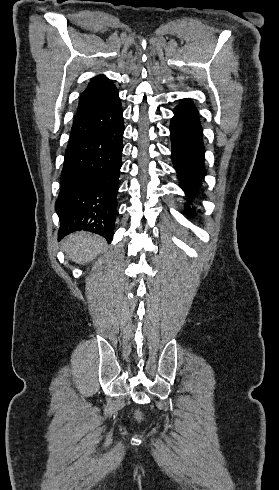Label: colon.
I'll return each mask as SVG.
<instances>
[{"instance_id":"obj_1","label":"colon","mask_w":279,"mask_h":490,"mask_svg":"<svg viewBox=\"0 0 279 490\" xmlns=\"http://www.w3.org/2000/svg\"><path fill=\"white\" fill-rule=\"evenodd\" d=\"M136 417L141 418L142 417V413L140 411H137L136 412Z\"/></svg>"}]
</instances>
